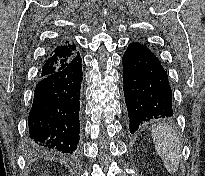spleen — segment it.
<instances>
[{
    "label": "spleen",
    "mask_w": 205,
    "mask_h": 176,
    "mask_svg": "<svg viewBox=\"0 0 205 176\" xmlns=\"http://www.w3.org/2000/svg\"><path fill=\"white\" fill-rule=\"evenodd\" d=\"M153 142L167 171L175 173L181 156V143L175 130L166 123L155 124L151 128Z\"/></svg>",
    "instance_id": "obj_1"
}]
</instances>
